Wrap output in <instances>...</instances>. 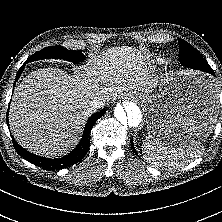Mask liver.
I'll return each instance as SVG.
<instances>
[{
    "mask_svg": "<svg viewBox=\"0 0 222 222\" xmlns=\"http://www.w3.org/2000/svg\"><path fill=\"white\" fill-rule=\"evenodd\" d=\"M145 60L135 48L122 46L98 55L73 76L57 68L31 72L12 96L9 124L15 140L37 155H65L79 141L91 113L89 101L154 90L157 81Z\"/></svg>",
    "mask_w": 222,
    "mask_h": 222,
    "instance_id": "liver-1",
    "label": "liver"
}]
</instances>
